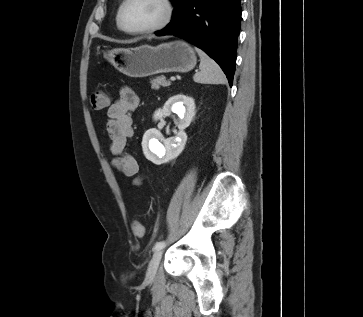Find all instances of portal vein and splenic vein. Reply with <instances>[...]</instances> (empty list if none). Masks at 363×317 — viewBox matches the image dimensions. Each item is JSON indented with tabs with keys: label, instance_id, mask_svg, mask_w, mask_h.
<instances>
[{
	"label": "portal vein and splenic vein",
	"instance_id": "1",
	"mask_svg": "<svg viewBox=\"0 0 363 317\" xmlns=\"http://www.w3.org/2000/svg\"><path fill=\"white\" fill-rule=\"evenodd\" d=\"M170 80H171V81H175V80H176V78H175L174 76H172V77L170 78Z\"/></svg>",
	"mask_w": 363,
	"mask_h": 317
}]
</instances>
